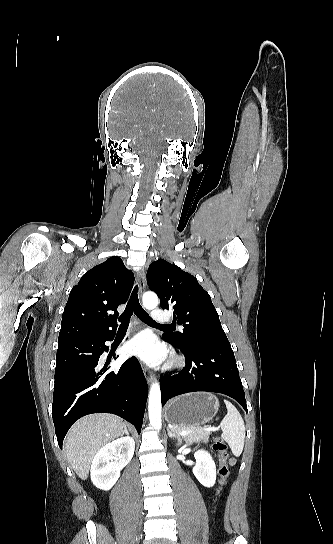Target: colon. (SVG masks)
I'll use <instances>...</instances> for the list:
<instances>
[{
	"mask_svg": "<svg viewBox=\"0 0 333 544\" xmlns=\"http://www.w3.org/2000/svg\"><path fill=\"white\" fill-rule=\"evenodd\" d=\"M213 449L218 453V456L220 458L219 480L215 492V499H217L219 494L222 492L227 484V479L230 474V465L228 463V446L222 438L216 437L214 439Z\"/></svg>",
	"mask_w": 333,
	"mask_h": 544,
	"instance_id": "5ec220e1",
	"label": "colon"
}]
</instances>
